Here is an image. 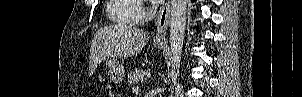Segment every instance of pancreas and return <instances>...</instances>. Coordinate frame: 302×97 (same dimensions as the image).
Segmentation results:
<instances>
[{
	"label": "pancreas",
	"mask_w": 302,
	"mask_h": 97,
	"mask_svg": "<svg viewBox=\"0 0 302 97\" xmlns=\"http://www.w3.org/2000/svg\"><path fill=\"white\" fill-rule=\"evenodd\" d=\"M145 79L143 70L136 69L133 72L128 73L129 84H138Z\"/></svg>",
	"instance_id": "obj_1"
}]
</instances>
